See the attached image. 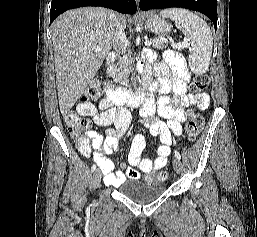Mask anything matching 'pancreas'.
<instances>
[{"label":"pancreas","mask_w":257,"mask_h":237,"mask_svg":"<svg viewBox=\"0 0 257 237\" xmlns=\"http://www.w3.org/2000/svg\"><path fill=\"white\" fill-rule=\"evenodd\" d=\"M152 47L155 49H164L167 47L166 43L159 40L153 39ZM132 58L131 52L124 54L122 58L116 63L112 64L109 69V73L118 83L125 84L128 81V76L131 72Z\"/></svg>","instance_id":"cf45deb5"}]
</instances>
